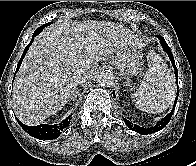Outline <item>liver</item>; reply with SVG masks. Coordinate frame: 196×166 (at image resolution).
<instances>
[{"instance_id": "obj_1", "label": "liver", "mask_w": 196, "mask_h": 166, "mask_svg": "<svg viewBox=\"0 0 196 166\" xmlns=\"http://www.w3.org/2000/svg\"><path fill=\"white\" fill-rule=\"evenodd\" d=\"M142 48L127 27L106 21L56 22L30 46L16 74L12 107L26 125H37L60 111L74 96V75L92 78L98 62L126 47Z\"/></svg>"}]
</instances>
